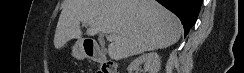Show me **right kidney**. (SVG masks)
Masks as SVG:
<instances>
[{
  "label": "right kidney",
  "mask_w": 244,
  "mask_h": 73,
  "mask_svg": "<svg viewBox=\"0 0 244 73\" xmlns=\"http://www.w3.org/2000/svg\"><path fill=\"white\" fill-rule=\"evenodd\" d=\"M142 64L144 65V73H158L160 70L161 60L156 52L146 53L132 61L127 70L129 73H137Z\"/></svg>",
  "instance_id": "right-kidney-1"
}]
</instances>
